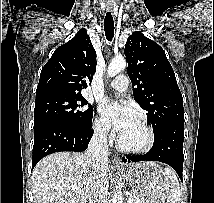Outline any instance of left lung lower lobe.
I'll list each match as a JSON object with an SVG mask.
<instances>
[{
	"label": "left lung lower lobe",
	"instance_id": "obj_1",
	"mask_svg": "<svg viewBox=\"0 0 214 203\" xmlns=\"http://www.w3.org/2000/svg\"><path fill=\"white\" fill-rule=\"evenodd\" d=\"M183 140L184 123H170L154 135V144L151 150L144 155H128L122 161H160L175 169L180 179L183 171Z\"/></svg>",
	"mask_w": 214,
	"mask_h": 203
}]
</instances>
